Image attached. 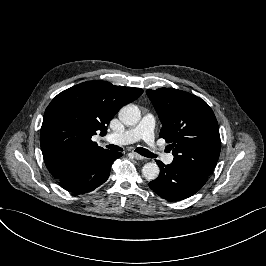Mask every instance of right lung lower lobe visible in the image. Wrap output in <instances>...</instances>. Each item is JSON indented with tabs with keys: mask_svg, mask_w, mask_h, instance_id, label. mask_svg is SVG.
<instances>
[{
	"mask_svg": "<svg viewBox=\"0 0 266 266\" xmlns=\"http://www.w3.org/2000/svg\"><path fill=\"white\" fill-rule=\"evenodd\" d=\"M121 155L119 152L104 150L79 157L70 162L57 179L59 185L74 194L90 192L108 179L112 163Z\"/></svg>",
	"mask_w": 266,
	"mask_h": 266,
	"instance_id": "right-lung-lower-lobe-1",
	"label": "right lung lower lobe"
}]
</instances>
